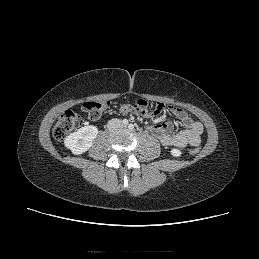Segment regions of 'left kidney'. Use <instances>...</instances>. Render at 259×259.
I'll return each mask as SVG.
<instances>
[{"instance_id":"left-kidney-1","label":"left kidney","mask_w":259,"mask_h":259,"mask_svg":"<svg viewBox=\"0 0 259 259\" xmlns=\"http://www.w3.org/2000/svg\"><path fill=\"white\" fill-rule=\"evenodd\" d=\"M170 152H171V155L174 156V157H179L182 154L179 149H175V148L171 149Z\"/></svg>"}]
</instances>
